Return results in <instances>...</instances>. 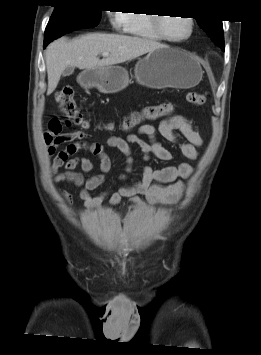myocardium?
<instances>
[{"label":"myocardium","mask_w":261,"mask_h":355,"mask_svg":"<svg viewBox=\"0 0 261 355\" xmlns=\"http://www.w3.org/2000/svg\"><path fill=\"white\" fill-rule=\"evenodd\" d=\"M186 18L188 19L189 25H190V30H189V34L185 37L179 38V39H173L168 37L162 28V21L163 18H161L160 16H153V26L155 31L157 32V34L161 37L162 40L170 42V43H181L184 42L188 39H190L194 33V29H195V20L193 17L190 16H186Z\"/></svg>","instance_id":"myocardium-1"}]
</instances>
